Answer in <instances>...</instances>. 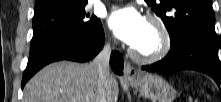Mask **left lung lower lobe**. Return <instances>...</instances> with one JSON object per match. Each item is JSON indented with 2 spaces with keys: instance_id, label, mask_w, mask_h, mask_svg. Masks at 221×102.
Returning <instances> with one entry per match:
<instances>
[{
  "instance_id": "left-lung-lower-lobe-1",
  "label": "left lung lower lobe",
  "mask_w": 221,
  "mask_h": 102,
  "mask_svg": "<svg viewBox=\"0 0 221 102\" xmlns=\"http://www.w3.org/2000/svg\"><path fill=\"white\" fill-rule=\"evenodd\" d=\"M142 69L150 72L197 70L210 75L219 87L221 83V63L218 50L196 37H187L171 45L168 55L163 60L144 66Z\"/></svg>"
}]
</instances>
